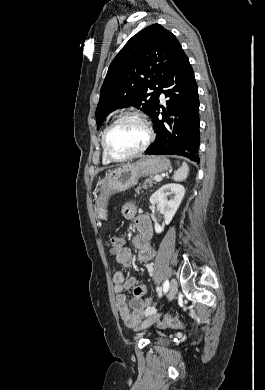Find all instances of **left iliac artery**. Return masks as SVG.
<instances>
[{"label": "left iliac artery", "mask_w": 265, "mask_h": 390, "mask_svg": "<svg viewBox=\"0 0 265 390\" xmlns=\"http://www.w3.org/2000/svg\"><path fill=\"white\" fill-rule=\"evenodd\" d=\"M168 289H169V281L166 280V281L164 282V284H163V291H164V293H166V292L168 291ZM157 292H158V295L160 296V295H161V292H162V288L159 287V288L157 289Z\"/></svg>", "instance_id": "left-iliac-artery-1"}]
</instances>
